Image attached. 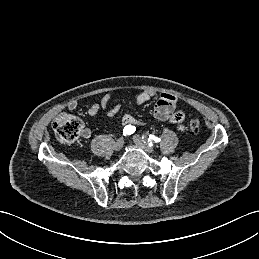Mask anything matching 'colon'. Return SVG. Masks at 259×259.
<instances>
[{
    "mask_svg": "<svg viewBox=\"0 0 259 259\" xmlns=\"http://www.w3.org/2000/svg\"><path fill=\"white\" fill-rule=\"evenodd\" d=\"M53 128L57 139L64 144L75 142L82 131V123L79 118L70 114H61L55 118ZM191 132L196 133L200 129V121L192 119L189 123Z\"/></svg>",
    "mask_w": 259,
    "mask_h": 259,
    "instance_id": "obj_1",
    "label": "colon"
}]
</instances>
